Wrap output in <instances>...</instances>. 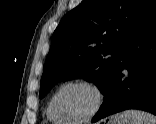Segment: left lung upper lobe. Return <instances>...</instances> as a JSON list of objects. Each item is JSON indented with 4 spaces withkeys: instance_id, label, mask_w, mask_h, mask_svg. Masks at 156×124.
I'll use <instances>...</instances> for the list:
<instances>
[{
    "instance_id": "5c2ea615",
    "label": "left lung upper lobe",
    "mask_w": 156,
    "mask_h": 124,
    "mask_svg": "<svg viewBox=\"0 0 156 124\" xmlns=\"http://www.w3.org/2000/svg\"><path fill=\"white\" fill-rule=\"evenodd\" d=\"M156 0H83L56 28L41 78L40 98L61 80L83 78L102 94L121 53Z\"/></svg>"
}]
</instances>
